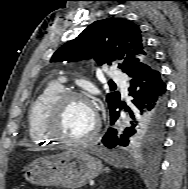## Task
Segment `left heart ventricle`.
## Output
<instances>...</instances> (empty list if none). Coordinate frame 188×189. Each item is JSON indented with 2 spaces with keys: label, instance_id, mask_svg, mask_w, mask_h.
Wrapping results in <instances>:
<instances>
[{
  "label": "left heart ventricle",
  "instance_id": "1",
  "mask_svg": "<svg viewBox=\"0 0 188 189\" xmlns=\"http://www.w3.org/2000/svg\"><path fill=\"white\" fill-rule=\"evenodd\" d=\"M94 123L93 109L86 102L74 100L65 105L58 130L69 138H82L90 133Z\"/></svg>",
  "mask_w": 188,
  "mask_h": 189
}]
</instances>
